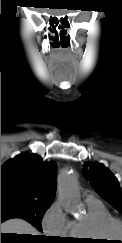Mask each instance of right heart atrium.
Wrapping results in <instances>:
<instances>
[{
    "label": "right heart atrium",
    "instance_id": "1",
    "mask_svg": "<svg viewBox=\"0 0 122 243\" xmlns=\"http://www.w3.org/2000/svg\"><path fill=\"white\" fill-rule=\"evenodd\" d=\"M70 220L64 212L62 203L55 201L46 211L42 219V228L45 233L55 237L68 235Z\"/></svg>",
    "mask_w": 122,
    "mask_h": 243
}]
</instances>
